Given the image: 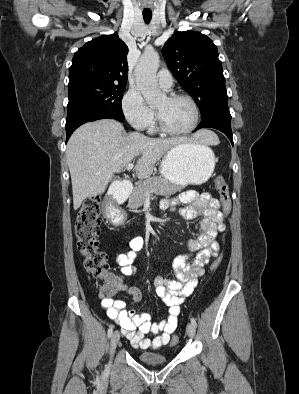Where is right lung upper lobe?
Returning <instances> with one entry per match:
<instances>
[{
    "mask_svg": "<svg viewBox=\"0 0 299 394\" xmlns=\"http://www.w3.org/2000/svg\"><path fill=\"white\" fill-rule=\"evenodd\" d=\"M127 53V45L117 34L87 42L74 54L68 87L87 83L126 85Z\"/></svg>",
    "mask_w": 299,
    "mask_h": 394,
    "instance_id": "right-lung-upper-lobe-1",
    "label": "right lung upper lobe"
}]
</instances>
